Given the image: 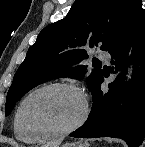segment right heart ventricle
Wrapping results in <instances>:
<instances>
[{"label": "right heart ventricle", "mask_w": 145, "mask_h": 147, "mask_svg": "<svg viewBox=\"0 0 145 147\" xmlns=\"http://www.w3.org/2000/svg\"><path fill=\"white\" fill-rule=\"evenodd\" d=\"M14 134L16 138L22 142H34V141L41 140V138L32 134L26 133L21 129L17 121V112L14 118Z\"/></svg>", "instance_id": "1"}]
</instances>
